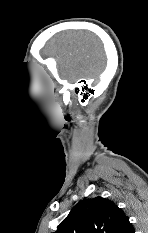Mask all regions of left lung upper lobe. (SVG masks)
I'll return each mask as SVG.
<instances>
[{
    "mask_svg": "<svg viewBox=\"0 0 148 233\" xmlns=\"http://www.w3.org/2000/svg\"><path fill=\"white\" fill-rule=\"evenodd\" d=\"M131 227L113 201L95 197L77 203L54 233H127Z\"/></svg>",
    "mask_w": 148,
    "mask_h": 233,
    "instance_id": "1",
    "label": "left lung upper lobe"
}]
</instances>
